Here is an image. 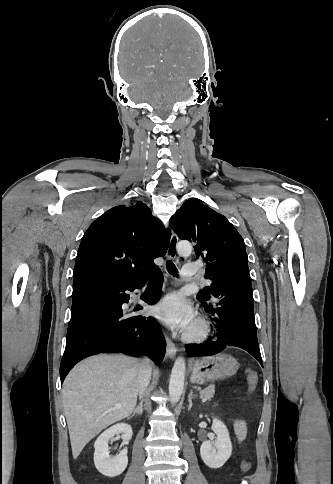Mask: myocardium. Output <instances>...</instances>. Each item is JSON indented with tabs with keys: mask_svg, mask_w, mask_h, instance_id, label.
<instances>
[{
	"mask_svg": "<svg viewBox=\"0 0 333 484\" xmlns=\"http://www.w3.org/2000/svg\"><path fill=\"white\" fill-rule=\"evenodd\" d=\"M195 327L187 330L183 338L188 343H202L211 334L210 322L203 316H199L194 321Z\"/></svg>",
	"mask_w": 333,
	"mask_h": 484,
	"instance_id": "1",
	"label": "myocardium"
}]
</instances>
